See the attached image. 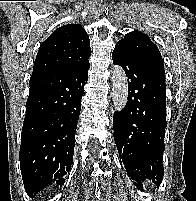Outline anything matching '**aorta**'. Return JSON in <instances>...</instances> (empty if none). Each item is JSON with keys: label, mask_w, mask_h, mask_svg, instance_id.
I'll return each mask as SVG.
<instances>
[{"label": "aorta", "mask_w": 196, "mask_h": 201, "mask_svg": "<svg viewBox=\"0 0 196 201\" xmlns=\"http://www.w3.org/2000/svg\"><path fill=\"white\" fill-rule=\"evenodd\" d=\"M112 99L117 111H121L127 104L128 83L125 71L119 65L112 71Z\"/></svg>", "instance_id": "obj_1"}]
</instances>
